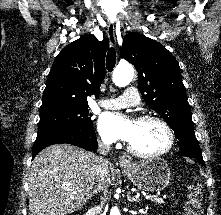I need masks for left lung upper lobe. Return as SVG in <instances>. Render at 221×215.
Instances as JSON below:
<instances>
[{"instance_id": "obj_1", "label": "left lung upper lobe", "mask_w": 221, "mask_h": 215, "mask_svg": "<svg viewBox=\"0 0 221 215\" xmlns=\"http://www.w3.org/2000/svg\"><path fill=\"white\" fill-rule=\"evenodd\" d=\"M121 56L138 71V87L147 105L173 129L180 149L200 153L191 109L174 56L160 43L142 34L123 39Z\"/></svg>"}]
</instances>
